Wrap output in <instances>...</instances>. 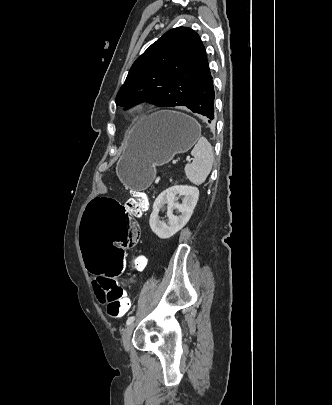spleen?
I'll return each instance as SVG.
<instances>
[{
	"label": "spleen",
	"mask_w": 332,
	"mask_h": 405,
	"mask_svg": "<svg viewBox=\"0 0 332 405\" xmlns=\"http://www.w3.org/2000/svg\"><path fill=\"white\" fill-rule=\"evenodd\" d=\"M191 155L194 159L191 163L186 164L185 174L190 182L195 185H201L205 182L213 166V147L210 142L202 136L192 149Z\"/></svg>",
	"instance_id": "3e777b00"
}]
</instances>
